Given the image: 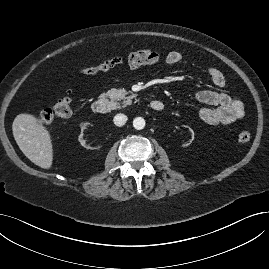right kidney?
<instances>
[{
  "label": "right kidney",
  "mask_w": 269,
  "mask_h": 269,
  "mask_svg": "<svg viewBox=\"0 0 269 269\" xmlns=\"http://www.w3.org/2000/svg\"><path fill=\"white\" fill-rule=\"evenodd\" d=\"M90 125V123H81V134L79 136V141L84 146L86 149L90 150H101L104 147V144L101 141H89V140H84L83 138V131Z\"/></svg>",
  "instance_id": "obj_1"
}]
</instances>
